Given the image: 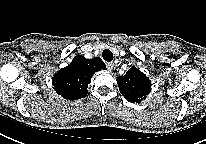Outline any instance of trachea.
I'll use <instances>...</instances> for the list:
<instances>
[{
  "mask_svg": "<svg viewBox=\"0 0 206 144\" xmlns=\"http://www.w3.org/2000/svg\"><path fill=\"white\" fill-rule=\"evenodd\" d=\"M103 59L107 62H111L113 60V53L109 49H105L102 52Z\"/></svg>",
  "mask_w": 206,
  "mask_h": 144,
  "instance_id": "1",
  "label": "trachea"
}]
</instances>
